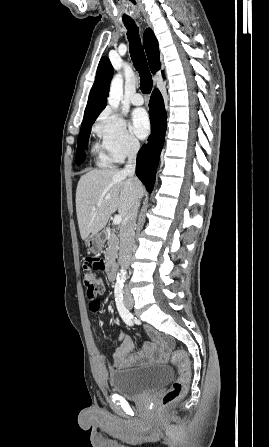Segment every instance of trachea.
Wrapping results in <instances>:
<instances>
[{"instance_id":"1","label":"trachea","mask_w":269,"mask_h":447,"mask_svg":"<svg viewBox=\"0 0 269 447\" xmlns=\"http://www.w3.org/2000/svg\"><path fill=\"white\" fill-rule=\"evenodd\" d=\"M128 32V40L130 42V55L133 65L140 75V89L143 93L148 94L152 90V77L147 65L146 56L142 48L138 28L135 22H124Z\"/></svg>"}]
</instances>
